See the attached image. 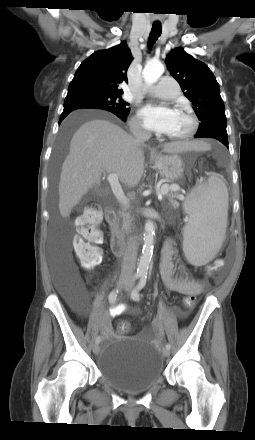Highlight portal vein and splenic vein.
Instances as JSON below:
<instances>
[{
  "label": "portal vein and splenic vein",
  "mask_w": 255,
  "mask_h": 440,
  "mask_svg": "<svg viewBox=\"0 0 255 440\" xmlns=\"http://www.w3.org/2000/svg\"><path fill=\"white\" fill-rule=\"evenodd\" d=\"M107 180L111 186L112 192L115 195V197L117 198V200L123 204V205H127L128 204V199L126 198L122 187L118 181V176L115 173H109ZM179 187L178 186H172L170 188H167L166 190L162 191V194L164 195L165 193H167L169 190H178ZM161 197V196H160ZM181 197V196H180Z\"/></svg>",
  "instance_id": "18ae733b"
}]
</instances>
